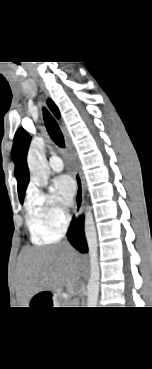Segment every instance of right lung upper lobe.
Returning <instances> with one entry per match:
<instances>
[{
	"mask_svg": "<svg viewBox=\"0 0 152 369\" xmlns=\"http://www.w3.org/2000/svg\"><path fill=\"white\" fill-rule=\"evenodd\" d=\"M48 105L54 115L59 118L60 114L57 106L51 100L48 101ZM30 140L29 134L23 128H19L13 141L12 159L15 163V177L18 182L17 189L20 201L24 199L25 190L29 182L27 151Z\"/></svg>",
	"mask_w": 152,
	"mask_h": 369,
	"instance_id": "cb5924a9",
	"label": "right lung upper lobe"
}]
</instances>
